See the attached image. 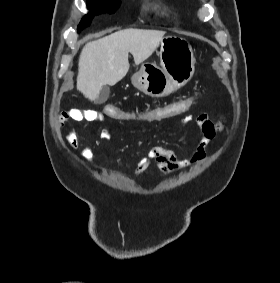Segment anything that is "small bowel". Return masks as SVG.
I'll list each match as a JSON object with an SVG mask.
<instances>
[{
    "label": "small bowel",
    "mask_w": 280,
    "mask_h": 283,
    "mask_svg": "<svg viewBox=\"0 0 280 283\" xmlns=\"http://www.w3.org/2000/svg\"><path fill=\"white\" fill-rule=\"evenodd\" d=\"M174 103V102H173ZM144 108L138 109V114H145ZM187 112H183L185 114ZM104 118V111L97 109L80 110L62 118V125L69 128L68 143L73 150L79 148V138L75 129V122L88 121L100 122ZM121 120V119H119ZM133 120V119H130ZM182 122L190 124L195 122L201 134L200 142L196 152L190 158H179L172 150L164 147H153L147 151L142 157L133 172L134 176H139L144 173L151 165H155L164 175H170L176 171L187 169L193 165L201 163L206 157V150L211 140L222 130V121H216L210 114L201 113L196 118L189 115L183 117ZM99 138L107 140L110 138L108 128H101L98 132ZM81 156L87 163L93 164L94 151L90 146H84L81 150Z\"/></svg>",
    "instance_id": "c3829d8e"
}]
</instances>
